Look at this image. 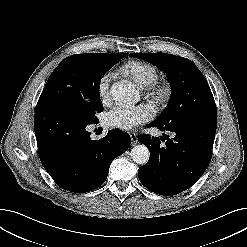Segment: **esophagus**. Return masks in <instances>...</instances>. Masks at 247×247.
I'll use <instances>...</instances> for the list:
<instances>
[{"instance_id":"esophagus-1","label":"esophagus","mask_w":247,"mask_h":247,"mask_svg":"<svg viewBox=\"0 0 247 247\" xmlns=\"http://www.w3.org/2000/svg\"><path fill=\"white\" fill-rule=\"evenodd\" d=\"M130 137H131V141L132 144L135 145L138 143V138H137V134L135 132H130Z\"/></svg>"}]
</instances>
